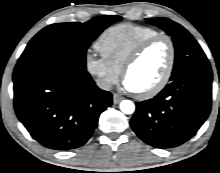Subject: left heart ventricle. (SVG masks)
Segmentation results:
<instances>
[{
    "mask_svg": "<svg viewBox=\"0 0 220 173\" xmlns=\"http://www.w3.org/2000/svg\"><path fill=\"white\" fill-rule=\"evenodd\" d=\"M170 57L169 44L159 40L150 46L129 70L125 81L136 92L153 87L164 75Z\"/></svg>",
    "mask_w": 220,
    "mask_h": 173,
    "instance_id": "obj_1",
    "label": "left heart ventricle"
}]
</instances>
